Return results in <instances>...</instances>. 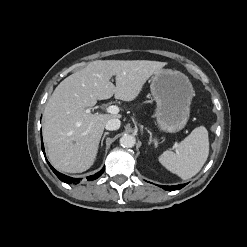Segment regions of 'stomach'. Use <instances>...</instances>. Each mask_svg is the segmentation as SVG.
<instances>
[{
  "mask_svg": "<svg viewBox=\"0 0 247 247\" xmlns=\"http://www.w3.org/2000/svg\"><path fill=\"white\" fill-rule=\"evenodd\" d=\"M156 102L155 117L161 130L175 133L182 130L190 116L194 89L189 78L177 70L161 69L150 85Z\"/></svg>",
  "mask_w": 247,
  "mask_h": 247,
  "instance_id": "1",
  "label": "stomach"
}]
</instances>
